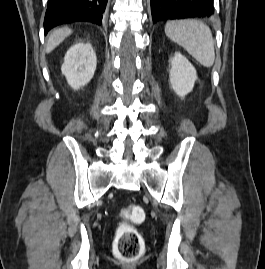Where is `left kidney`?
<instances>
[{
    "label": "left kidney",
    "instance_id": "1",
    "mask_svg": "<svg viewBox=\"0 0 265 269\" xmlns=\"http://www.w3.org/2000/svg\"><path fill=\"white\" fill-rule=\"evenodd\" d=\"M197 73L194 66L180 53L176 52L170 69V84L182 99L193 90Z\"/></svg>",
    "mask_w": 265,
    "mask_h": 269
}]
</instances>
